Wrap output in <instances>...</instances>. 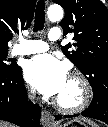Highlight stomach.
I'll use <instances>...</instances> for the list:
<instances>
[{"instance_id": "1", "label": "stomach", "mask_w": 108, "mask_h": 127, "mask_svg": "<svg viewBox=\"0 0 108 127\" xmlns=\"http://www.w3.org/2000/svg\"><path fill=\"white\" fill-rule=\"evenodd\" d=\"M46 127H97L94 123H87L81 119H73L63 124L53 123Z\"/></svg>"}]
</instances>
